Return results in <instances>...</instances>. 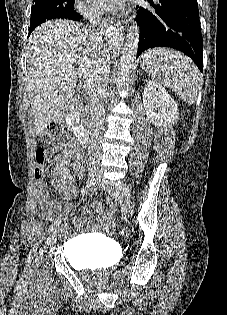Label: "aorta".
Returning a JSON list of instances; mask_svg holds the SVG:
<instances>
[{
	"label": "aorta",
	"instance_id": "aorta-1",
	"mask_svg": "<svg viewBox=\"0 0 227 315\" xmlns=\"http://www.w3.org/2000/svg\"><path fill=\"white\" fill-rule=\"evenodd\" d=\"M140 28L136 21L130 26L126 39H124L115 27L106 29V38L113 50L120 51L118 73L116 83L118 87L126 85L133 72L138 50Z\"/></svg>",
	"mask_w": 227,
	"mask_h": 315
}]
</instances>
